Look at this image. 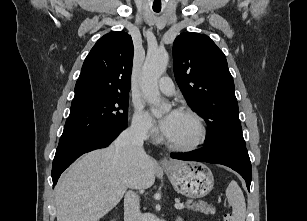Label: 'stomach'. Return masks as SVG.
I'll return each instance as SVG.
<instances>
[{"mask_svg":"<svg viewBox=\"0 0 307 221\" xmlns=\"http://www.w3.org/2000/svg\"><path fill=\"white\" fill-rule=\"evenodd\" d=\"M165 172L174 188L187 197H204L214 186L211 170L200 162L173 161Z\"/></svg>","mask_w":307,"mask_h":221,"instance_id":"1","label":"stomach"}]
</instances>
